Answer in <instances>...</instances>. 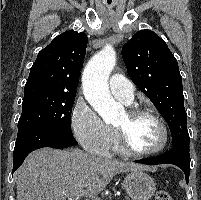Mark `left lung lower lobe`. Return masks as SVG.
Segmentation results:
<instances>
[{"label": "left lung lower lobe", "mask_w": 201, "mask_h": 200, "mask_svg": "<svg viewBox=\"0 0 201 200\" xmlns=\"http://www.w3.org/2000/svg\"><path fill=\"white\" fill-rule=\"evenodd\" d=\"M189 142L184 141L177 145H174L171 150L167 153L142 160H137V163H143L147 165H157V164H173L180 167L185 173V179L188 183L189 181V170H190V154H189Z\"/></svg>", "instance_id": "0a47b994"}]
</instances>
